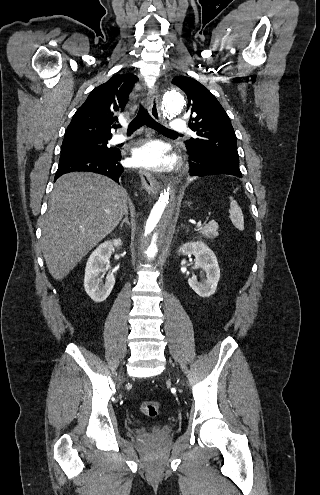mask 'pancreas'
Returning <instances> with one entry per match:
<instances>
[{"label":"pancreas","instance_id":"obj_1","mask_svg":"<svg viewBox=\"0 0 320 495\" xmlns=\"http://www.w3.org/2000/svg\"><path fill=\"white\" fill-rule=\"evenodd\" d=\"M218 224L215 221H210L200 229V234L208 239H214L218 236Z\"/></svg>","mask_w":320,"mask_h":495}]
</instances>
